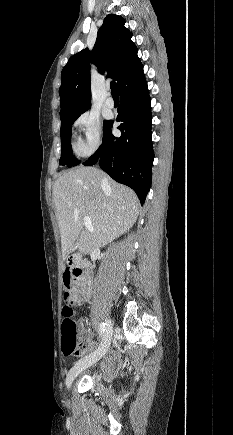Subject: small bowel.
Wrapping results in <instances>:
<instances>
[{"instance_id": "1", "label": "small bowel", "mask_w": 233, "mask_h": 435, "mask_svg": "<svg viewBox=\"0 0 233 435\" xmlns=\"http://www.w3.org/2000/svg\"><path fill=\"white\" fill-rule=\"evenodd\" d=\"M75 297V293L74 291H65L64 292V297ZM78 327H79V331H78V343L80 346L85 348V352L90 351L93 346L94 343L90 337V333L88 331V329L85 326V323L83 320H79L78 322ZM84 352V353H85ZM116 360V357L112 356L109 361L113 362Z\"/></svg>"}]
</instances>
